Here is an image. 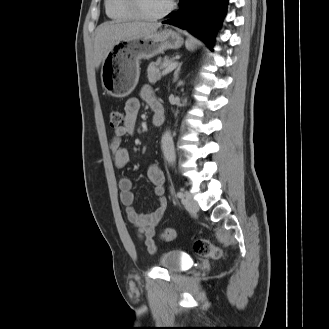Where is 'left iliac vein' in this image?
<instances>
[{
	"mask_svg": "<svg viewBox=\"0 0 329 329\" xmlns=\"http://www.w3.org/2000/svg\"><path fill=\"white\" fill-rule=\"evenodd\" d=\"M183 203L185 205L186 210L190 213H195L199 210L198 203L188 192H185V199H183Z\"/></svg>",
	"mask_w": 329,
	"mask_h": 329,
	"instance_id": "obj_1",
	"label": "left iliac vein"
}]
</instances>
